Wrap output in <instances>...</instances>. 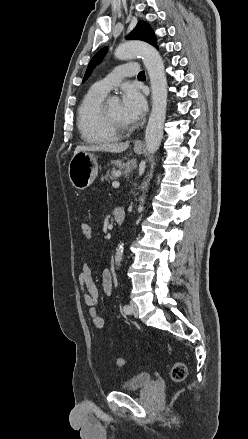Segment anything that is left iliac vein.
<instances>
[{"label":"left iliac vein","instance_id":"obj_1","mask_svg":"<svg viewBox=\"0 0 248 439\" xmlns=\"http://www.w3.org/2000/svg\"><path fill=\"white\" fill-rule=\"evenodd\" d=\"M130 307H131V314L134 315L135 317L138 316V306L136 303L131 302L130 303Z\"/></svg>","mask_w":248,"mask_h":439}]
</instances>
